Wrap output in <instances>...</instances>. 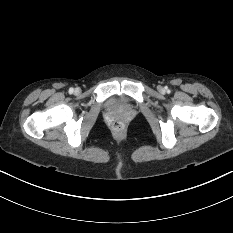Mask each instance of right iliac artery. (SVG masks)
<instances>
[{
  "label": "right iliac artery",
  "instance_id": "1",
  "mask_svg": "<svg viewBox=\"0 0 233 233\" xmlns=\"http://www.w3.org/2000/svg\"><path fill=\"white\" fill-rule=\"evenodd\" d=\"M74 92V89L73 88H70L69 89V93L72 94Z\"/></svg>",
  "mask_w": 233,
  "mask_h": 233
}]
</instances>
